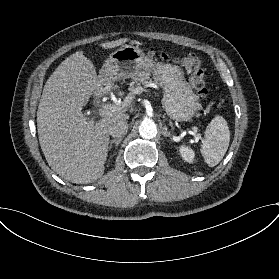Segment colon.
<instances>
[{
	"mask_svg": "<svg viewBox=\"0 0 279 279\" xmlns=\"http://www.w3.org/2000/svg\"><path fill=\"white\" fill-rule=\"evenodd\" d=\"M150 56H155L162 60L173 59L175 63L188 70L190 84L196 94L205 97L208 93L207 80L201 60L194 53H186L180 57L172 58L167 52H156L154 50L147 51Z\"/></svg>",
	"mask_w": 279,
	"mask_h": 279,
	"instance_id": "colon-1",
	"label": "colon"
}]
</instances>
